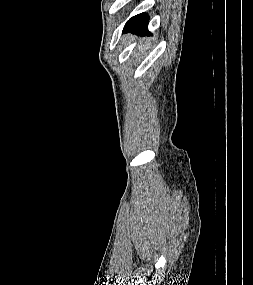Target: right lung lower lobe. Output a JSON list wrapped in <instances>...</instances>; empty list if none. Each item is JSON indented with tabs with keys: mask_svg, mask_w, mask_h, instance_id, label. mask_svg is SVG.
I'll return each mask as SVG.
<instances>
[{
	"mask_svg": "<svg viewBox=\"0 0 253 285\" xmlns=\"http://www.w3.org/2000/svg\"><path fill=\"white\" fill-rule=\"evenodd\" d=\"M149 17L145 13L138 14L132 17L126 24L123 33L132 32L139 35H150L147 26Z\"/></svg>",
	"mask_w": 253,
	"mask_h": 285,
	"instance_id": "right-lung-lower-lobe-1",
	"label": "right lung lower lobe"
}]
</instances>
